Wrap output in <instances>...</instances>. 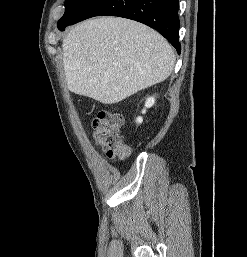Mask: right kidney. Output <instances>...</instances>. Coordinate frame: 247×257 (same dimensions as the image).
<instances>
[{"mask_svg": "<svg viewBox=\"0 0 247 257\" xmlns=\"http://www.w3.org/2000/svg\"><path fill=\"white\" fill-rule=\"evenodd\" d=\"M155 103V98L154 97H149L147 98L146 102H145V109H143L142 113L144 114L146 112V108H150L154 105ZM143 121L142 117H138L136 119V123L141 124Z\"/></svg>", "mask_w": 247, "mask_h": 257, "instance_id": "ca27d5eb", "label": "right kidney"}]
</instances>
